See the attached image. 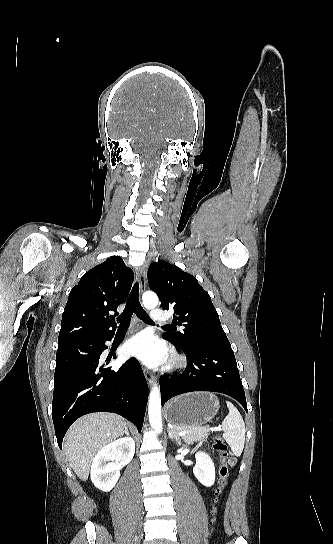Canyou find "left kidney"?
I'll list each match as a JSON object with an SVG mask.
<instances>
[{
  "instance_id": "obj_1",
  "label": "left kidney",
  "mask_w": 333,
  "mask_h": 544,
  "mask_svg": "<svg viewBox=\"0 0 333 544\" xmlns=\"http://www.w3.org/2000/svg\"><path fill=\"white\" fill-rule=\"evenodd\" d=\"M196 464L193 468V473L201 484L210 487L215 482V467L210 457L203 452H198L195 455Z\"/></svg>"
}]
</instances>
